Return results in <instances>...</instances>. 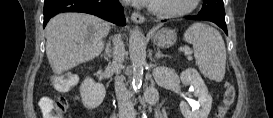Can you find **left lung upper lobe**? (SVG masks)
<instances>
[{"label": "left lung upper lobe", "instance_id": "obj_1", "mask_svg": "<svg viewBox=\"0 0 273 118\" xmlns=\"http://www.w3.org/2000/svg\"><path fill=\"white\" fill-rule=\"evenodd\" d=\"M199 14L213 16L225 20L223 0H203V6Z\"/></svg>", "mask_w": 273, "mask_h": 118}]
</instances>
